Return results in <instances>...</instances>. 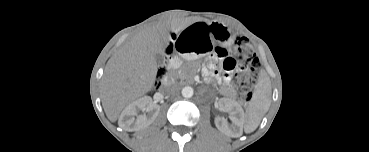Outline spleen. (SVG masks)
I'll return each mask as SVG.
<instances>
[{
	"label": "spleen",
	"mask_w": 369,
	"mask_h": 152,
	"mask_svg": "<svg viewBox=\"0 0 369 152\" xmlns=\"http://www.w3.org/2000/svg\"><path fill=\"white\" fill-rule=\"evenodd\" d=\"M271 86L269 79L263 77L256 89L254 96L247 109V118L245 120V129L254 130L259 125L263 115L270 106Z\"/></svg>",
	"instance_id": "obj_1"
}]
</instances>
